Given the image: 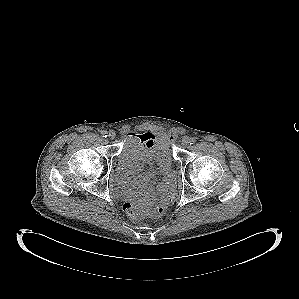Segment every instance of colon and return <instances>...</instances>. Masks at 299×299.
<instances>
[{"label": "colon", "instance_id": "obj_1", "mask_svg": "<svg viewBox=\"0 0 299 299\" xmlns=\"http://www.w3.org/2000/svg\"><path fill=\"white\" fill-rule=\"evenodd\" d=\"M175 199V195L174 194H170L163 203H161L158 206H155L153 208H150L146 211H142L140 209H138L134 204L130 203V202H126L123 205V210L125 211V213L133 218V219H138L144 216H149V217H153V218H159L161 216H163V214L166 211V206L173 202Z\"/></svg>", "mask_w": 299, "mask_h": 299}]
</instances>
